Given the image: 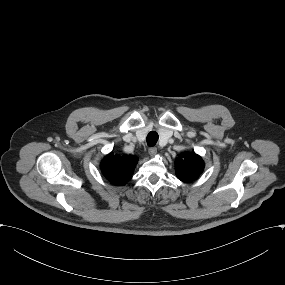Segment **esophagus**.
Returning a JSON list of instances; mask_svg holds the SVG:
<instances>
[{
  "label": "esophagus",
  "instance_id": "esophagus-1",
  "mask_svg": "<svg viewBox=\"0 0 285 285\" xmlns=\"http://www.w3.org/2000/svg\"><path fill=\"white\" fill-rule=\"evenodd\" d=\"M148 153L150 154V156H155L157 154V148L152 146L148 149Z\"/></svg>",
  "mask_w": 285,
  "mask_h": 285
}]
</instances>
